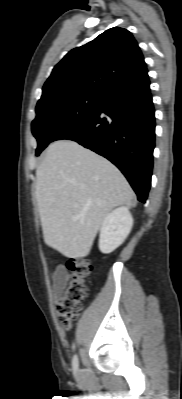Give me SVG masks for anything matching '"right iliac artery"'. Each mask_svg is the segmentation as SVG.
Returning <instances> with one entry per match:
<instances>
[{
  "label": "right iliac artery",
  "mask_w": 182,
  "mask_h": 399,
  "mask_svg": "<svg viewBox=\"0 0 182 399\" xmlns=\"http://www.w3.org/2000/svg\"><path fill=\"white\" fill-rule=\"evenodd\" d=\"M78 356L77 355H74V357H73V359H72V367H73V371H74V373H76L77 372V370H78Z\"/></svg>",
  "instance_id": "1"
}]
</instances>
